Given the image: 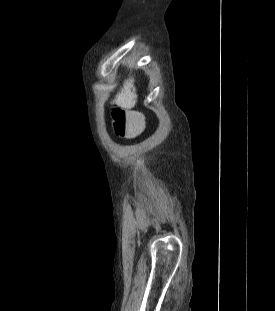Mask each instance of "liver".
I'll list each match as a JSON object with an SVG mask.
<instances>
[{
  "instance_id": "6515ba94",
  "label": "liver",
  "mask_w": 275,
  "mask_h": 311,
  "mask_svg": "<svg viewBox=\"0 0 275 311\" xmlns=\"http://www.w3.org/2000/svg\"><path fill=\"white\" fill-rule=\"evenodd\" d=\"M137 102V94L134 86V79L130 77L125 80L123 83V87L119 91V93L115 96L112 103H115L117 106L130 110L135 106Z\"/></svg>"
}]
</instances>
